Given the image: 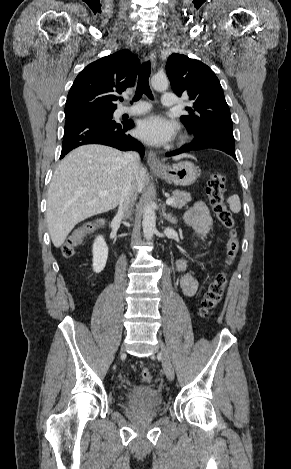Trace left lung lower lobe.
Returning <instances> with one entry per match:
<instances>
[{
  "mask_svg": "<svg viewBox=\"0 0 291 469\" xmlns=\"http://www.w3.org/2000/svg\"><path fill=\"white\" fill-rule=\"evenodd\" d=\"M206 148H214L224 151L236 159L233 133L215 130L207 131L195 136L194 140L189 145L167 153L166 156H175L191 150H200Z\"/></svg>",
  "mask_w": 291,
  "mask_h": 469,
  "instance_id": "1",
  "label": "left lung lower lobe"
}]
</instances>
